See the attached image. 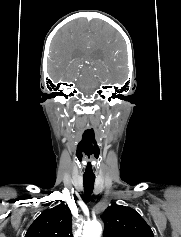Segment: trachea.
Here are the masks:
<instances>
[{"label": "trachea", "mask_w": 181, "mask_h": 237, "mask_svg": "<svg viewBox=\"0 0 181 237\" xmlns=\"http://www.w3.org/2000/svg\"><path fill=\"white\" fill-rule=\"evenodd\" d=\"M94 181L95 178H86L84 177V191L86 196H89L92 191H93V187H94Z\"/></svg>", "instance_id": "3493384b"}]
</instances>
